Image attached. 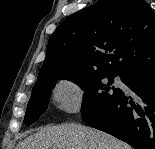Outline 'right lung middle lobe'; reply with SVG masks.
Returning a JSON list of instances; mask_svg holds the SVG:
<instances>
[{
  "label": "right lung middle lobe",
  "mask_w": 155,
  "mask_h": 149,
  "mask_svg": "<svg viewBox=\"0 0 155 149\" xmlns=\"http://www.w3.org/2000/svg\"><path fill=\"white\" fill-rule=\"evenodd\" d=\"M115 76H118V74L98 71H67L36 82L27 105L24 124H33L46 110L50 91L59 79H68L84 89L85 94L81 108L83 119L98 115L102 109L121 93L119 88L111 86ZM119 76L123 80V76ZM104 78L108 79V83L102 82Z\"/></svg>",
  "instance_id": "obj_1"
}]
</instances>
